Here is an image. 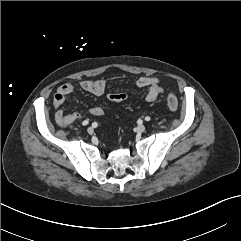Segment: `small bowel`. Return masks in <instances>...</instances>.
<instances>
[{
  "mask_svg": "<svg viewBox=\"0 0 241 241\" xmlns=\"http://www.w3.org/2000/svg\"><path fill=\"white\" fill-rule=\"evenodd\" d=\"M107 83L108 79L100 78L97 80L83 79L76 84L69 82L61 85L57 89L53 98V106L57 110L55 114L57 124L60 126H66L72 124L81 117L78 112H65L61 109L66 97L74 91L76 85L85 92L101 96L106 90ZM135 85L143 90L144 97L148 102L156 101L159 95L163 92L160 80L156 77L142 76L136 80ZM90 113L95 117H99L103 115L104 110L101 106H94L90 109Z\"/></svg>",
  "mask_w": 241,
  "mask_h": 241,
  "instance_id": "1",
  "label": "small bowel"
}]
</instances>
